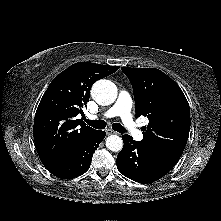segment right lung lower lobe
<instances>
[{
  "label": "right lung lower lobe",
  "instance_id": "obj_1",
  "mask_svg": "<svg viewBox=\"0 0 221 221\" xmlns=\"http://www.w3.org/2000/svg\"><path fill=\"white\" fill-rule=\"evenodd\" d=\"M105 135V131L97 130L71 155L57 164L46 167L47 170L62 179L74 178L83 174L89 169L92 155L103 141Z\"/></svg>",
  "mask_w": 221,
  "mask_h": 221
}]
</instances>
